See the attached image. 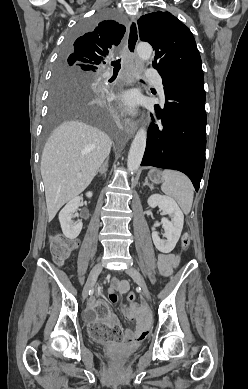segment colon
Wrapping results in <instances>:
<instances>
[{
    "instance_id": "colon-1",
    "label": "colon",
    "mask_w": 248,
    "mask_h": 389,
    "mask_svg": "<svg viewBox=\"0 0 248 389\" xmlns=\"http://www.w3.org/2000/svg\"><path fill=\"white\" fill-rule=\"evenodd\" d=\"M182 245L184 248H187L189 245V236L187 233L183 235ZM73 247V242L65 240L58 235L53 236L50 240V248L53 257L58 262L67 258ZM127 300L130 302L135 300L134 292H129L127 294ZM94 318H96L97 322H90L89 328L92 337H94L95 340H98L99 344H121L122 334L120 327L117 326L116 323H113L112 326H105L104 322L109 320V311L106 301H97L94 306Z\"/></svg>"
}]
</instances>
